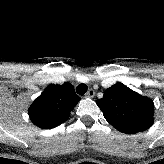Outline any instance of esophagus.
<instances>
[{
    "label": "esophagus",
    "mask_w": 164,
    "mask_h": 164,
    "mask_svg": "<svg viewBox=\"0 0 164 164\" xmlns=\"http://www.w3.org/2000/svg\"><path fill=\"white\" fill-rule=\"evenodd\" d=\"M95 95V91L93 89H89L86 93V97L93 98Z\"/></svg>",
    "instance_id": "obj_1"
}]
</instances>
